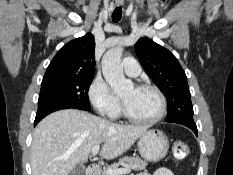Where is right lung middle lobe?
<instances>
[{"label": "right lung middle lobe", "instance_id": "right-lung-middle-lobe-1", "mask_svg": "<svg viewBox=\"0 0 233 175\" xmlns=\"http://www.w3.org/2000/svg\"><path fill=\"white\" fill-rule=\"evenodd\" d=\"M92 80L93 75L43 78L36 116L67 108L89 111L87 93Z\"/></svg>", "mask_w": 233, "mask_h": 175}]
</instances>
